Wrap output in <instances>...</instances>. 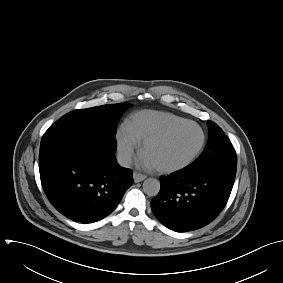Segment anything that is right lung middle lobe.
Instances as JSON below:
<instances>
[{
	"label": "right lung middle lobe",
	"mask_w": 283,
	"mask_h": 283,
	"mask_svg": "<svg viewBox=\"0 0 283 283\" xmlns=\"http://www.w3.org/2000/svg\"><path fill=\"white\" fill-rule=\"evenodd\" d=\"M130 106L128 102H123L71 111L45 132L40 150L79 135L95 133L115 136L118 119Z\"/></svg>",
	"instance_id": "1"
}]
</instances>
